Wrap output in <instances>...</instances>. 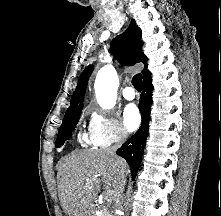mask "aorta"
<instances>
[{"label":"aorta","mask_w":221,"mask_h":216,"mask_svg":"<svg viewBox=\"0 0 221 216\" xmlns=\"http://www.w3.org/2000/svg\"><path fill=\"white\" fill-rule=\"evenodd\" d=\"M119 79L111 65L101 68L96 76L94 88L98 104L103 109H111L116 104Z\"/></svg>","instance_id":"762f6f07"}]
</instances>
